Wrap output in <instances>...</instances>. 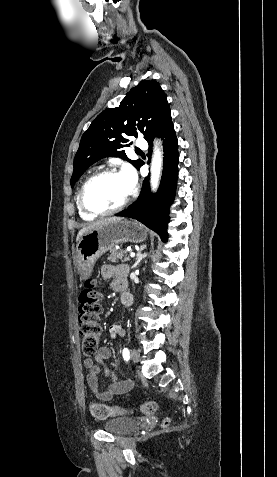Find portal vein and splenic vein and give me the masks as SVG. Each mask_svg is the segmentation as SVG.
Returning <instances> with one entry per match:
<instances>
[{"instance_id":"obj_1","label":"portal vein and splenic vein","mask_w":277,"mask_h":477,"mask_svg":"<svg viewBox=\"0 0 277 477\" xmlns=\"http://www.w3.org/2000/svg\"><path fill=\"white\" fill-rule=\"evenodd\" d=\"M130 257H135V253L130 251Z\"/></svg>"}]
</instances>
